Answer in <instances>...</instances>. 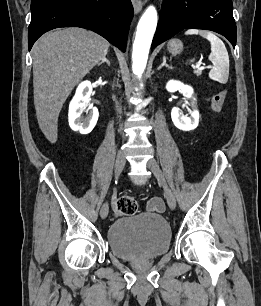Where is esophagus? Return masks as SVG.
<instances>
[{"label":"esophagus","mask_w":261,"mask_h":306,"mask_svg":"<svg viewBox=\"0 0 261 306\" xmlns=\"http://www.w3.org/2000/svg\"><path fill=\"white\" fill-rule=\"evenodd\" d=\"M134 8V12L137 14L142 10L143 3L142 0H131Z\"/></svg>","instance_id":"obj_1"}]
</instances>
